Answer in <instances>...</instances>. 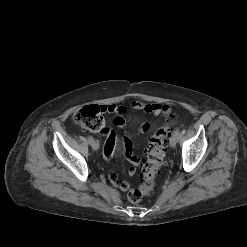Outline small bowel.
<instances>
[{
	"mask_svg": "<svg viewBox=\"0 0 247 247\" xmlns=\"http://www.w3.org/2000/svg\"><path fill=\"white\" fill-rule=\"evenodd\" d=\"M105 110L108 113L116 114L117 116L114 118L113 123L115 126L121 128L125 125V119L123 115L126 113L128 109L144 111L146 113H150L154 116L159 115H169L171 112V107L168 104H158V103H145L140 101L130 102L128 105H105ZM152 129V125L148 122L141 124L138 128L140 133L149 132ZM102 133L106 135L107 139L103 148V156L105 160H110L117 148V138L115 132L112 129L104 128ZM124 155L131 163V167L129 168V174L134 175L137 169V166L141 162V158L135 156L132 153V143L129 136L124 137ZM110 182L118 187L122 191H127L130 188V184L128 181L123 180L120 181L117 174L115 172H110L109 174Z\"/></svg>",
	"mask_w": 247,
	"mask_h": 247,
	"instance_id": "1",
	"label": "small bowel"
}]
</instances>
